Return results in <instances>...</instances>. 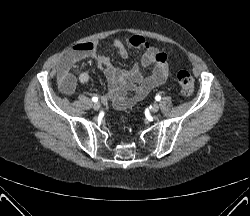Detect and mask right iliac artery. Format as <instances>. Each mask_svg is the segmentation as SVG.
Instances as JSON below:
<instances>
[{"mask_svg": "<svg viewBox=\"0 0 250 216\" xmlns=\"http://www.w3.org/2000/svg\"><path fill=\"white\" fill-rule=\"evenodd\" d=\"M92 101H93V102H97V101H98V98H97V97H93V98H92Z\"/></svg>", "mask_w": 250, "mask_h": 216, "instance_id": "right-iliac-artery-1", "label": "right iliac artery"}]
</instances>
